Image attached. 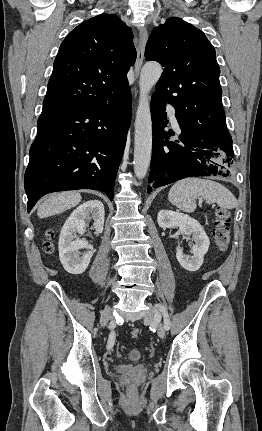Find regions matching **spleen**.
<instances>
[{"label":"spleen","mask_w":262,"mask_h":431,"mask_svg":"<svg viewBox=\"0 0 262 431\" xmlns=\"http://www.w3.org/2000/svg\"><path fill=\"white\" fill-rule=\"evenodd\" d=\"M203 198L207 203H217L221 208L233 209L237 206L235 196L222 184L202 178H185L176 182L170 189L168 199L171 204L184 212L195 211L196 199Z\"/></svg>","instance_id":"3e777b00"}]
</instances>
